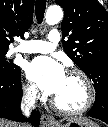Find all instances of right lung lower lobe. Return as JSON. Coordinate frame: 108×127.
<instances>
[{"label": "right lung lower lobe", "mask_w": 108, "mask_h": 127, "mask_svg": "<svg viewBox=\"0 0 108 127\" xmlns=\"http://www.w3.org/2000/svg\"><path fill=\"white\" fill-rule=\"evenodd\" d=\"M21 72L6 75L0 72V117L13 121L25 120L20 110L22 99ZM29 121L34 126L40 124V113L33 111Z\"/></svg>", "instance_id": "right-lung-lower-lobe-1"}]
</instances>
